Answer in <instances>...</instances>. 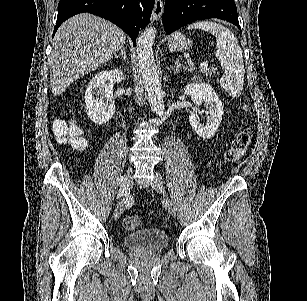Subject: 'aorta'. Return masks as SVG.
Wrapping results in <instances>:
<instances>
[{
    "label": "aorta",
    "mask_w": 307,
    "mask_h": 301,
    "mask_svg": "<svg viewBox=\"0 0 307 301\" xmlns=\"http://www.w3.org/2000/svg\"><path fill=\"white\" fill-rule=\"evenodd\" d=\"M156 32L155 26L145 28L144 32H141L136 40V52L141 78L150 108L155 114H158L161 118H165L166 112L162 82L153 54Z\"/></svg>",
    "instance_id": "obj_1"
}]
</instances>
